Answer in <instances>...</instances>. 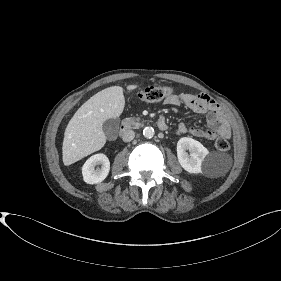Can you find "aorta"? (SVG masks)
Wrapping results in <instances>:
<instances>
[{
	"label": "aorta",
	"mask_w": 281,
	"mask_h": 281,
	"mask_svg": "<svg viewBox=\"0 0 281 281\" xmlns=\"http://www.w3.org/2000/svg\"><path fill=\"white\" fill-rule=\"evenodd\" d=\"M155 134L154 128L153 127H145L143 130V135L145 138H152Z\"/></svg>",
	"instance_id": "obj_1"
}]
</instances>
